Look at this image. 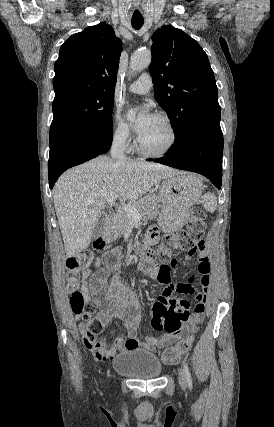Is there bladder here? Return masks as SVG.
Listing matches in <instances>:
<instances>
[{
    "label": "bladder",
    "instance_id": "bladder-1",
    "mask_svg": "<svg viewBox=\"0 0 274 427\" xmlns=\"http://www.w3.org/2000/svg\"><path fill=\"white\" fill-rule=\"evenodd\" d=\"M116 374L126 375L135 380L160 378L164 368L160 359L144 349H127L113 359Z\"/></svg>",
    "mask_w": 274,
    "mask_h": 427
}]
</instances>
